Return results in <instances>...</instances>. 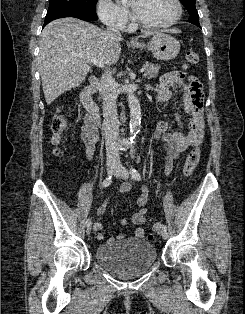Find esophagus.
Returning a JSON list of instances; mask_svg holds the SVG:
<instances>
[{"mask_svg": "<svg viewBox=\"0 0 245 314\" xmlns=\"http://www.w3.org/2000/svg\"><path fill=\"white\" fill-rule=\"evenodd\" d=\"M129 42H130V43H135V40L130 39Z\"/></svg>", "mask_w": 245, "mask_h": 314, "instance_id": "1", "label": "esophagus"}]
</instances>
